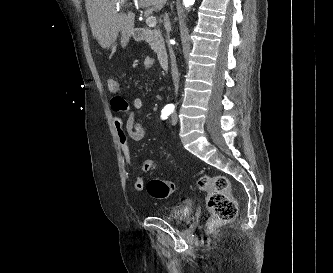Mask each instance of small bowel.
<instances>
[{"label":"small bowel","mask_w":333,"mask_h":273,"mask_svg":"<svg viewBox=\"0 0 333 273\" xmlns=\"http://www.w3.org/2000/svg\"><path fill=\"white\" fill-rule=\"evenodd\" d=\"M151 60V59H147ZM144 69H153V62H144ZM110 102L113 103L115 115L113 125L116 130L118 141L128 163H131V149L129 140L141 141L145 136V130L141 125L138 115L141 112L144 102L140 97H136L132 102V107L128 108V102L124 96H111ZM126 116L125 120L123 117ZM145 183L142 177H136L134 180V188L138 191L144 189Z\"/></svg>","instance_id":"small-bowel-1"}]
</instances>
